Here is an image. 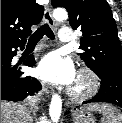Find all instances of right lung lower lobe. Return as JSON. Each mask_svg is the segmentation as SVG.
I'll return each instance as SVG.
<instances>
[{"label": "right lung lower lobe", "instance_id": "98d812e1", "mask_svg": "<svg viewBox=\"0 0 122 123\" xmlns=\"http://www.w3.org/2000/svg\"><path fill=\"white\" fill-rule=\"evenodd\" d=\"M24 45L25 43L1 44V100L23 101L42 88L37 79L24 75L18 69V64L11 63L17 49L22 50ZM35 63L33 55H30L24 65L34 66Z\"/></svg>", "mask_w": 122, "mask_h": 123}]
</instances>
